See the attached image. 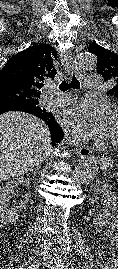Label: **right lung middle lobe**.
Segmentation results:
<instances>
[{"label": "right lung middle lobe", "instance_id": "right-lung-middle-lobe-1", "mask_svg": "<svg viewBox=\"0 0 118 269\" xmlns=\"http://www.w3.org/2000/svg\"><path fill=\"white\" fill-rule=\"evenodd\" d=\"M19 102L25 103V104H29L26 100H19Z\"/></svg>", "mask_w": 118, "mask_h": 269}]
</instances>
